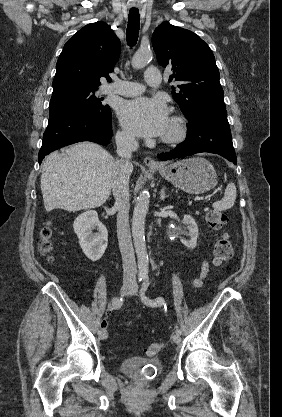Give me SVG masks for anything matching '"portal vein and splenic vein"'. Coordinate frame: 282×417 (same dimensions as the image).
Returning <instances> with one entry per match:
<instances>
[{
	"label": "portal vein and splenic vein",
	"instance_id": "18ae733b",
	"mask_svg": "<svg viewBox=\"0 0 282 417\" xmlns=\"http://www.w3.org/2000/svg\"><path fill=\"white\" fill-rule=\"evenodd\" d=\"M205 200H207V197H205L204 195L200 196L199 194H196L193 197L192 202L198 203L199 201H205Z\"/></svg>",
	"mask_w": 282,
	"mask_h": 417
}]
</instances>
